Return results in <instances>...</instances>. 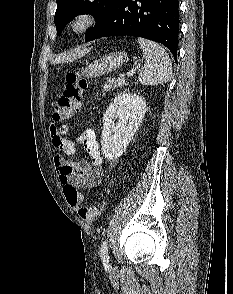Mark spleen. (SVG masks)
Wrapping results in <instances>:
<instances>
[{
  "instance_id": "3e777b00",
  "label": "spleen",
  "mask_w": 233,
  "mask_h": 294,
  "mask_svg": "<svg viewBox=\"0 0 233 294\" xmlns=\"http://www.w3.org/2000/svg\"><path fill=\"white\" fill-rule=\"evenodd\" d=\"M138 43L145 59L138 75L139 82L145 86L168 82L172 75V63L165 49L158 43L141 37L138 38Z\"/></svg>"
}]
</instances>
